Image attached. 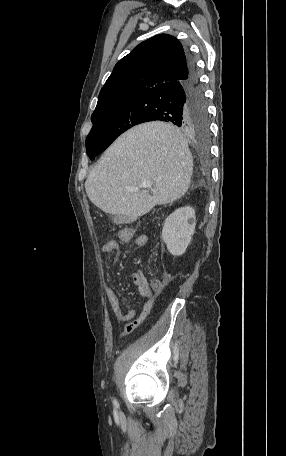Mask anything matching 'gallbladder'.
Here are the masks:
<instances>
[{
	"instance_id": "obj_1",
	"label": "gallbladder",
	"mask_w": 286,
	"mask_h": 456,
	"mask_svg": "<svg viewBox=\"0 0 286 456\" xmlns=\"http://www.w3.org/2000/svg\"><path fill=\"white\" fill-rule=\"evenodd\" d=\"M118 220L121 219L120 217H116Z\"/></svg>"
}]
</instances>
